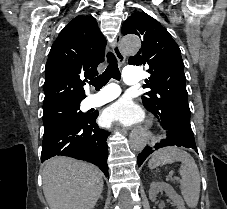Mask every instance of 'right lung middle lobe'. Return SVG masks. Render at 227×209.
<instances>
[{
    "label": "right lung middle lobe",
    "instance_id": "right-lung-middle-lobe-1",
    "mask_svg": "<svg viewBox=\"0 0 227 209\" xmlns=\"http://www.w3.org/2000/svg\"><path fill=\"white\" fill-rule=\"evenodd\" d=\"M80 102H58L43 106L44 135L70 122L82 120L85 114L79 110Z\"/></svg>",
    "mask_w": 227,
    "mask_h": 209
}]
</instances>
